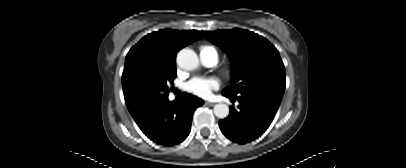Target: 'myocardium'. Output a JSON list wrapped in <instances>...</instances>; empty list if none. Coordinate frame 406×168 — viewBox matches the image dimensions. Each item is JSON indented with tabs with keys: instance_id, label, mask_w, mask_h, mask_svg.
Instances as JSON below:
<instances>
[{
	"instance_id": "f54148a6",
	"label": "myocardium",
	"mask_w": 406,
	"mask_h": 168,
	"mask_svg": "<svg viewBox=\"0 0 406 168\" xmlns=\"http://www.w3.org/2000/svg\"><path fill=\"white\" fill-rule=\"evenodd\" d=\"M234 67L232 65H227L222 69V74L226 78H231L234 75Z\"/></svg>"
}]
</instances>
